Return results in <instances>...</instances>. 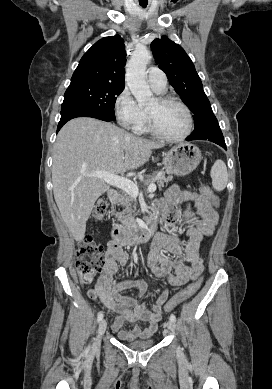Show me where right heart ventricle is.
I'll list each match as a JSON object with an SVG mask.
<instances>
[{"instance_id":"1","label":"right heart ventricle","mask_w":272,"mask_h":389,"mask_svg":"<svg viewBox=\"0 0 272 389\" xmlns=\"http://www.w3.org/2000/svg\"><path fill=\"white\" fill-rule=\"evenodd\" d=\"M134 130L138 134H144V133L150 132L148 116L146 113H145L144 121L138 127H136Z\"/></svg>"}]
</instances>
